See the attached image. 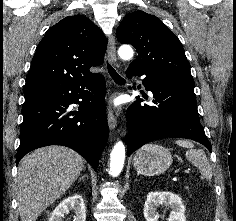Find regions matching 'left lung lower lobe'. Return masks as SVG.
I'll return each instance as SVG.
<instances>
[{"label":"left lung lower lobe","instance_id":"1","mask_svg":"<svg viewBox=\"0 0 236 221\" xmlns=\"http://www.w3.org/2000/svg\"><path fill=\"white\" fill-rule=\"evenodd\" d=\"M126 73L128 78L146 75L143 85L153 93L156 104L143 105L137 97L127 109L128 156L144 144L166 137L192 139L211 151L199 121L194 87L167 81L138 68L129 67Z\"/></svg>","mask_w":236,"mask_h":221}]
</instances>
